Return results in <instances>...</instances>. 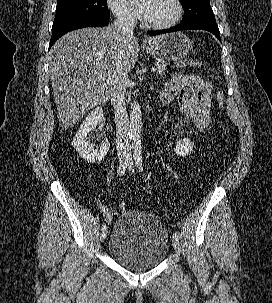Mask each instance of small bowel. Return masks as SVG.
<instances>
[{
  "mask_svg": "<svg viewBox=\"0 0 272 303\" xmlns=\"http://www.w3.org/2000/svg\"><path fill=\"white\" fill-rule=\"evenodd\" d=\"M172 99L177 98L184 120L175 126L182 132L193 123L201 133H207L212 124L213 86L196 75L175 74L165 89Z\"/></svg>",
  "mask_w": 272,
  "mask_h": 303,
  "instance_id": "small-bowel-1",
  "label": "small bowel"
}]
</instances>
